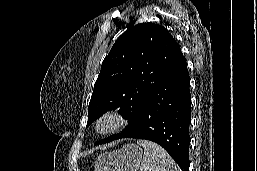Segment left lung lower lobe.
<instances>
[{
    "label": "left lung lower lobe",
    "mask_w": 257,
    "mask_h": 171,
    "mask_svg": "<svg viewBox=\"0 0 257 171\" xmlns=\"http://www.w3.org/2000/svg\"><path fill=\"white\" fill-rule=\"evenodd\" d=\"M190 121L189 73L180 50L138 117L113 140L137 138L156 142L182 171H189Z\"/></svg>",
    "instance_id": "0a47b994"
}]
</instances>
